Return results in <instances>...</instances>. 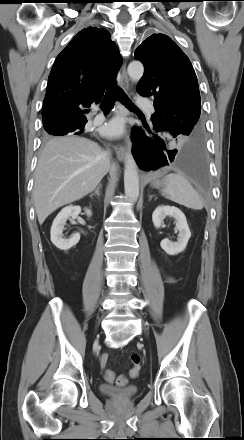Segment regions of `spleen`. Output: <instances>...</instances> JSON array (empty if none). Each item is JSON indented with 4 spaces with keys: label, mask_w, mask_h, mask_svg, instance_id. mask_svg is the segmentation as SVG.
<instances>
[{
    "label": "spleen",
    "mask_w": 244,
    "mask_h": 440,
    "mask_svg": "<svg viewBox=\"0 0 244 440\" xmlns=\"http://www.w3.org/2000/svg\"><path fill=\"white\" fill-rule=\"evenodd\" d=\"M162 195L180 205L194 210L203 209V201L190 182L181 174H168L164 178Z\"/></svg>",
    "instance_id": "1"
}]
</instances>
